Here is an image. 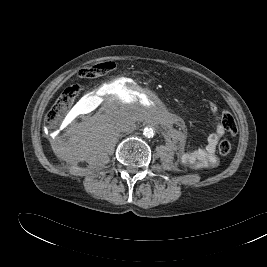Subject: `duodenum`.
<instances>
[{
  "label": "duodenum",
  "mask_w": 267,
  "mask_h": 267,
  "mask_svg": "<svg viewBox=\"0 0 267 267\" xmlns=\"http://www.w3.org/2000/svg\"><path fill=\"white\" fill-rule=\"evenodd\" d=\"M119 89L133 95L147 97L149 100H154L156 98V92L151 88H144L143 86H136L131 83L121 82L119 84Z\"/></svg>",
  "instance_id": "duodenum-1"
}]
</instances>
